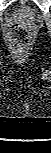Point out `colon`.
I'll return each mask as SVG.
<instances>
[{
	"label": "colon",
	"mask_w": 51,
	"mask_h": 153,
	"mask_svg": "<svg viewBox=\"0 0 51 153\" xmlns=\"http://www.w3.org/2000/svg\"><path fill=\"white\" fill-rule=\"evenodd\" d=\"M8 39L16 49H23L30 45L31 34L25 26L15 23L8 29Z\"/></svg>",
	"instance_id": "obj_1"
}]
</instances>
